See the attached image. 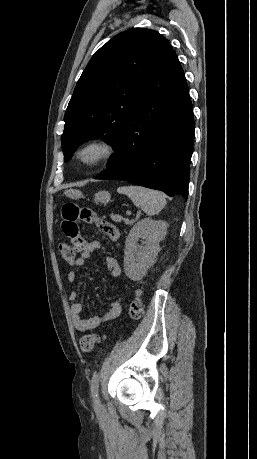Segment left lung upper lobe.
I'll return each instance as SVG.
<instances>
[{
    "instance_id": "5c2ea615",
    "label": "left lung upper lobe",
    "mask_w": 257,
    "mask_h": 459,
    "mask_svg": "<svg viewBox=\"0 0 257 459\" xmlns=\"http://www.w3.org/2000/svg\"><path fill=\"white\" fill-rule=\"evenodd\" d=\"M173 51L157 31L132 28L113 37L92 56L65 113L61 138L64 162L92 138L116 148L126 118Z\"/></svg>"
}]
</instances>
